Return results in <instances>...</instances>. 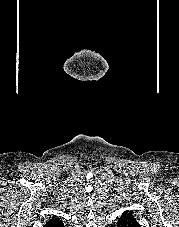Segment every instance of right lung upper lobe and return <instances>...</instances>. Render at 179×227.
I'll list each match as a JSON object with an SVG mask.
<instances>
[{
	"label": "right lung upper lobe",
	"mask_w": 179,
	"mask_h": 227,
	"mask_svg": "<svg viewBox=\"0 0 179 227\" xmlns=\"http://www.w3.org/2000/svg\"><path fill=\"white\" fill-rule=\"evenodd\" d=\"M63 223L60 221L59 218L53 217L49 222H47V225L45 227H60Z\"/></svg>",
	"instance_id": "obj_1"
}]
</instances>
